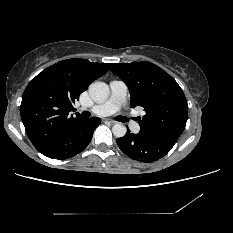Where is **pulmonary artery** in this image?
<instances>
[{"label":"pulmonary artery","mask_w":233,"mask_h":233,"mask_svg":"<svg viewBox=\"0 0 233 233\" xmlns=\"http://www.w3.org/2000/svg\"><path fill=\"white\" fill-rule=\"evenodd\" d=\"M110 95L108 99L98 105L93 106L90 110L92 113L99 116H106L120 110L128 93L127 85L121 80H112L109 84ZM126 122L130 128L138 133L140 131V124L137 120L125 117Z\"/></svg>","instance_id":"1"}]
</instances>
